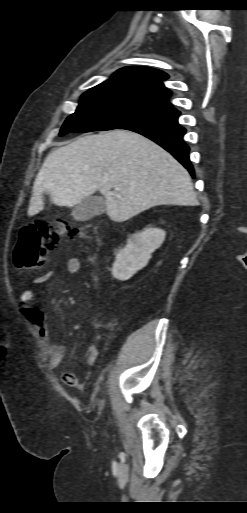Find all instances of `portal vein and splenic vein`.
Wrapping results in <instances>:
<instances>
[{"label": "portal vein and splenic vein", "mask_w": 247, "mask_h": 513, "mask_svg": "<svg viewBox=\"0 0 247 513\" xmlns=\"http://www.w3.org/2000/svg\"><path fill=\"white\" fill-rule=\"evenodd\" d=\"M114 191H115V192L120 191V187H115V188H114Z\"/></svg>", "instance_id": "18ae733b"}]
</instances>
